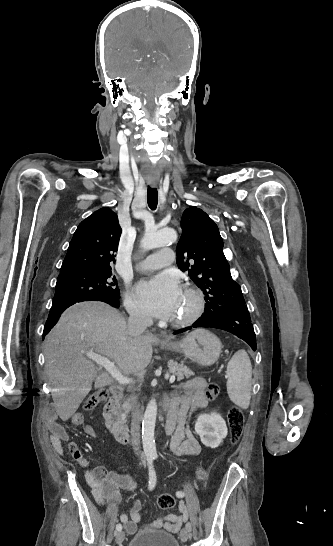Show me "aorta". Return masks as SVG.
Returning <instances> with one entry per match:
<instances>
[{
  "instance_id": "aorta-1",
  "label": "aorta",
  "mask_w": 333,
  "mask_h": 546,
  "mask_svg": "<svg viewBox=\"0 0 333 546\" xmlns=\"http://www.w3.org/2000/svg\"><path fill=\"white\" fill-rule=\"evenodd\" d=\"M177 234L172 229L146 230L141 241V247L144 250H151L158 247H163L168 243L176 241ZM157 416V403L155 399H151L145 409L142 422V444L146 455H155L156 446L154 439L155 423Z\"/></svg>"
}]
</instances>
